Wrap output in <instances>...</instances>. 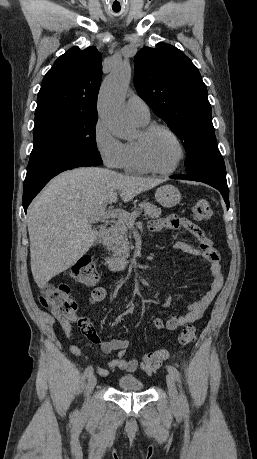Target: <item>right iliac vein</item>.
<instances>
[{
    "label": "right iliac vein",
    "mask_w": 257,
    "mask_h": 459,
    "mask_svg": "<svg viewBox=\"0 0 257 459\" xmlns=\"http://www.w3.org/2000/svg\"><path fill=\"white\" fill-rule=\"evenodd\" d=\"M96 383H97V378H96L95 375L92 374L88 379L87 393H90L93 390V388L95 387Z\"/></svg>",
    "instance_id": "obj_1"
}]
</instances>
